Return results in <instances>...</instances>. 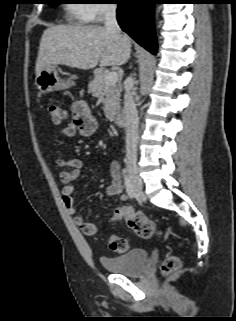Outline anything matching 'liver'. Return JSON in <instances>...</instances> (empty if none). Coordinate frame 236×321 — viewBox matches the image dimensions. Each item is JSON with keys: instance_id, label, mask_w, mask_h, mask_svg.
Returning a JSON list of instances; mask_svg holds the SVG:
<instances>
[{"instance_id": "1", "label": "liver", "mask_w": 236, "mask_h": 321, "mask_svg": "<svg viewBox=\"0 0 236 321\" xmlns=\"http://www.w3.org/2000/svg\"><path fill=\"white\" fill-rule=\"evenodd\" d=\"M131 43L126 36L98 25H58L42 35L35 72L56 65L78 69L120 66L130 57Z\"/></svg>"}]
</instances>
